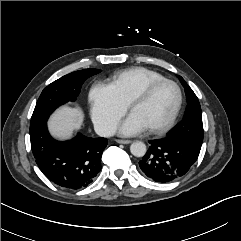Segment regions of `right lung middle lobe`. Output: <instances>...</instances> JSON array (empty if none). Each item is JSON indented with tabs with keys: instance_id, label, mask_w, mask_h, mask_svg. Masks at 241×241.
Here are the masks:
<instances>
[{
	"instance_id": "dd1d6c3e",
	"label": "right lung middle lobe",
	"mask_w": 241,
	"mask_h": 241,
	"mask_svg": "<svg viewBox=\"0 0 241 241\" xmlns=\"http://www.w3.org/2000/svg\"><path fill=\"white\" fill-rule=\"evenodd\" d=\"M99 72V69L75 71L48 85L36 103L31 117L30 133L45 124L50 114L60 105L68 101L74 102L84 81Z\"/></svg>"
}]
</instances>
